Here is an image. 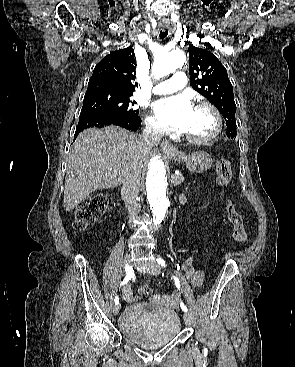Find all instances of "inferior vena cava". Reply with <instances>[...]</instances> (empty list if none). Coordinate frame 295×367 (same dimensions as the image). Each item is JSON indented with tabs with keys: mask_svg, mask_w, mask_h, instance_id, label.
<instances>
[{
	"mask_svg": "<svg viewBox=\"0 0 295 367\" xmlns=\"http://www.w3.org/2000/svg\"><path fill=\"white\" fill-rule=\"evenodd\" d=\"M162 132L163 130L158 124L147 125L143 130V134L141 135L144 146L152 148L153 146L159 144L162 137ZM139 187L140 175L137 172H130L126 176L121 190V196L128 209L130 224L135 219L141 208L140 204L137 202Z\"/></svg>",
	"mask_w": 295,
	"mask_h": 367,
	"instance_id": "1",
	"label": "inferior vena cava"
}]
</instances>
